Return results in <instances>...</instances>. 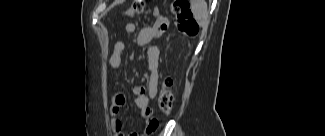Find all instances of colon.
<instances>
[{"instance_id":"obj_1","label":"colon","mask_w":325,"mask_h":136,"mask_svg":"<svg viewBox=\"0 0 325 136\" xmlns=\"http://www.w3.org/2000/svg\"><path fill=\"white\" fill-rule=\"evenodd\" d=\"M145 0H134L126 15L133 17L143 12ZM172 11L176 15V25L181 33L187 36L198 31V24L193 17L189 0H173ZM172 80L164 79L158 94V106L164 114L171 112L174 105V94L171 90Z\"/></svg>"}]
</instances>
